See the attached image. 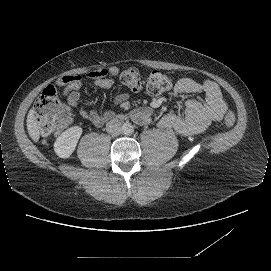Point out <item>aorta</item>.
<instances>
[{"label":"aorta","mask_w":271,"mask_h":271,"mask_svg":"<svg viewBox=\"0 0 271 271\" xmlns=\"http://www.w3.org/2000/svg\"><path fill=\"white\" fill-rule=\"evenodd\" d=\"M122 132L126 135H130L134 132V127L131 124H124L122 126Z\"/></svg>","instance_id":"1"}]
</instances>
